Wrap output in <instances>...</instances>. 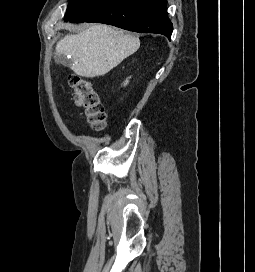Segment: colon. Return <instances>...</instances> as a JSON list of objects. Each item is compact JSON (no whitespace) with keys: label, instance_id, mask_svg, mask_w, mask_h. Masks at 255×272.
<instances>
[{"label":"colon","instance_id":"5ec220e1","mask_svg":"<svg viewBox=\"0 0 255 272\" xmlns=\"http://www.w3.org/2000/svg\"><path fill=\"white\" fill-rule=\"evenodd\" d=\"M68 83L74 102L83 110L88 123L94 129L102 130L106 125V113L99 91L88 78L72 75Z\"/></svg>","mask_w":255,"mask_h":272}]
</instances>
